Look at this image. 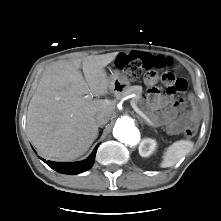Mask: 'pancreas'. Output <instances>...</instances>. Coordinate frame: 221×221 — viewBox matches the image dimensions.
Listing matches in <instances>:
<instances>
[{
	"mask_svg": "<svg viewBox=\"0 0 221 221\" xmlns=\"http://www.w3.org/2000/svg\"><path fill=\"white\" fill-rule=\"evenodd\" d=\"M136 94V97L133 98L132 100L136 103H138L140 101L141 98V93H142V87L141 86H130L128 87L123 93L122 95L126 94Z\"/></svg>",
	"mask_w": 221,
	"mask_h": 221,
	"instance_id": "obj_1",
	"label": "pancreas"
}]
</instances>
